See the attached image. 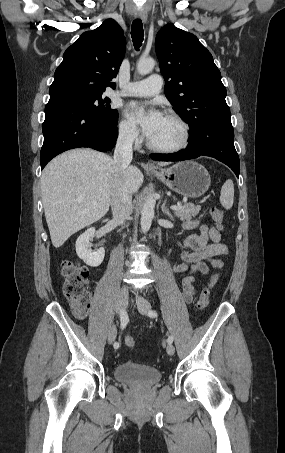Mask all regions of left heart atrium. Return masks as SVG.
Segmentation results:
<instances>
[{"instance_id":"obj_1","label":"left heart atrium","mask_w":285,"mask_h":453,"mask_svg":"<svg viewBox=\"0 0 285 453\" xmlns=\"http://www.w3.org/2000/svg\"><path fill=\"white\" fill-rule=\"evenodd\" d=\"M128 114L134 121L141 125L143 132L148 138L153 135L164 116L155 105L146 107L144 104L138 102L129 104Z\"/></svg>"}]
</instances>
